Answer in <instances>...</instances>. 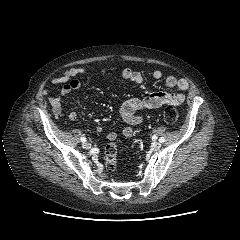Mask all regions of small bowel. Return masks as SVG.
Wrapping results in <instances>:
<instances>
[{
  "label": "small bowel",
  "mask_w": 240,
  "mask_h": 240,
  "mask_svg": "<svg viewBox=\"0 0 240 240\" xmlns=\"http://www.w3.org/2000/svg\"><path fill=\"white\" fill-rule=\"evenodd\" d=\"M88 71L82 67H75L67 69L61 76L51 80L52 85H61L59 94L57 96H49V102L52 107L53 114L56 117L62 116V99L70 93L78 90L81 87V82L78 79L80 76L87 75ZM121 75L124 79L131 81L135 84H141L144 80L143 75L130 68L122 70ZM152 77L156 80L163 78L161 70H154ZM165 84L169 88H176L175 92H152L143 98H132L121 103L119 113L126 123L121 129L124 137L129 138L133 135V126L140 125L143 122V117L140 114L143 110H157L163 105L178 106L184 102L185 91L189 89V83L185 79H178L175 76H167ZM68 119L75 121L78 118L76 112H70L67 115ZM97 132H102L101 125L96 127ZM117 137L115 132L108 134V139L114 141Z\"/></svg>",
  "instance_id": "1"
}]
</instances>
